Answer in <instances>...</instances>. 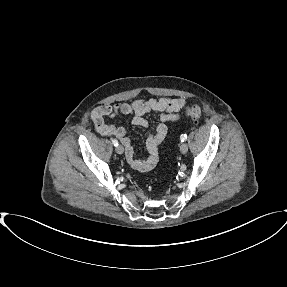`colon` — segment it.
I'll return each mask as SVG.
<instances>
[{
	"label": "colon",
	"instance_id": "5ec220e1",
	"mask_svg": "<svg viewBox=\"0 0 287 287\" xmlns=\"http://www.w3.org/2000/svg\"><path fill=\"white\" fill-rule=\"evenodd\" d=\"M186 115L192 120H199L202 116L201 107L198 104H191L186 108Z\"/></svg>",
	"mask_w": 287,
	"mask_h": 287
}]
</instances>
